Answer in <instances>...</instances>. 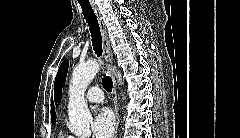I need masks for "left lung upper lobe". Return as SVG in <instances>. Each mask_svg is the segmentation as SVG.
<instances>
[{"label":"left lung upper lobe","instance_id":"obj_1","mask_svg":"<svg viewBox=\"0 0 240 138\" xmlns=\"http://www.w3.org/2000/svg\"><path fill=\"white\" fill-rule=\"evenodd\" d=\"M68 66H69L68 60L63 61L62 64L60 65V68L55 78L54 97L55 103L57 105H59L61 101L62 87L66 80Z\"/></svg>","mask_w":240,"mask_h":138}]
</instances>
